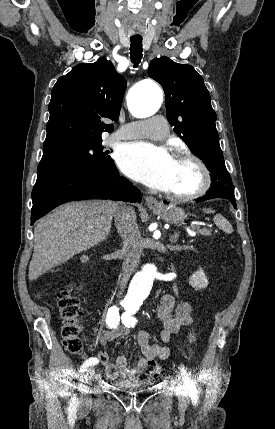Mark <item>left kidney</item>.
<instances>
[{"label":"left kidney","mask_w":275,"mask_h":429,"mask_svg":"<svg viewBox=\"0 0 275 429\" xmlns=\"http://www.w3.org/2000/svg\"><path fill=\"white\" fill-rule=\"evenodd\" d=\"M189 285H191L196 290L205 289L208 286V279L202 268H199L189 278Z\"/></svg>","instance_id":"1"}]
</instances>
